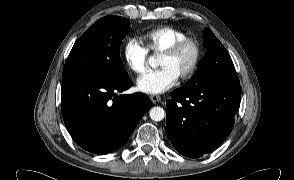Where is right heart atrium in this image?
Segmentation results:
<instances>
[{
  "label": "right heart atrium",
  "instance_id": "d8ad5b80",
  "mask_svg": "<svg viewBox=\"0 0 294 180\" xmlns=\"http://www.w3.org/2000/svg\"><path fill=\"white\" fill-rule=\"evenodd\" d=\"M127 67L136 74H141L146 69L148 52L135 38L126 41L121 52Z\"/></svg>",
  "mask_w": 294,
  "mask_h": 180
}]
</instances>
